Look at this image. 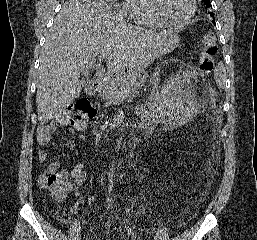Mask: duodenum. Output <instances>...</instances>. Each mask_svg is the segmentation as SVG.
Returning a JSON list of instances; mask_svg holds the SVG:
<instances>
[{
  "instance_id": "410a0bca",
  "label": "duodenum",
  "mask_w": 257,
  "mask_h": 240,
  "mask_svg": "<svg viewBox=\"0 0 257 240\" xmlns=\"http://www.w3.org/2000/svg\"><path fill=\"white\" fill-rule=\"evenodd\" d=\"M98 89V82L92 81L86 88V92L90 95L94 94Z\"/></svg>"
}]
</instances>
